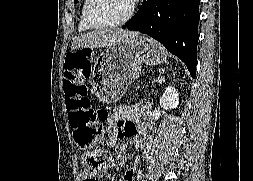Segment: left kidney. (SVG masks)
Here are the masks:
<instances>
[{
  "label": "left kidney",
  "mask_w": 253,
  "mask_h": 181,
  "mask_svg": "<svg viewBox=\"0 0 253 181\" xmlns=\"http://www.w3.org/2000/svg\"><path fill=\"white\" fill-rule=\"evenodd\" d=\"M179 94L175 87L169 86L164 91L162 97L160 98V106L164 109H174L179 104Z\"/></svg>",
  "instance_id": "5707ae66"
}]
</instances>
